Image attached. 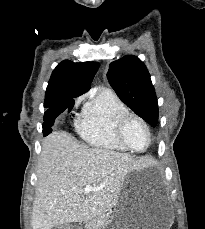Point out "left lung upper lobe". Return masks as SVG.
I'll use <instances>...</instances> for the list:
<instances>
[{"instance_id":"1","label":"left lung upper lobe","mask_w":205,"mask_h":229,"mask_svg":"<svg viewBox=\"0 0 205 229\" xmlns=\"http://www.w3.org/2000/svg\"><path fill=\"white\" fill-rule=\"evenodd\" d=\"M107 78L118 97L152 126L158 122V103L146 66L126 55L109 66Z\"/></svg>"}]
</instances>
